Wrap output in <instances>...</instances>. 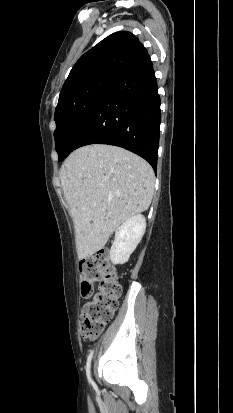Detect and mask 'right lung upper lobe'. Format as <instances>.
Wrapping results in <instances>:
<instances>
[{"label": "right lung upper lobe", "mask_w": 233, "mask_h": 413, "mask_svg": "<svg viewBox=\"0 0 233 413\" xmlns=\"http://www.w3.org/2000/svg\"><path fill=\"white\" fill-rule=\"evenodd\" d=\"M147 54L146 48L132 33H113L80 57L59 97L96 78H117Z\"/></svg>", "instance_id": "1"}]
</instances>
